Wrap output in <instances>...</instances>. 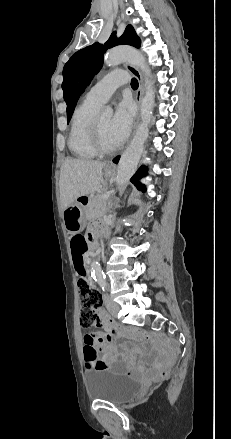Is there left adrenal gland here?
<instances>
[{"instance_id": "a2214340", "label": "left adrenal gland", "mask_w": 231, "mask_h": 439, "mask_svg": "<svg viewBox=\"0 0 231 439\" xmlns=\"http://www.w3.org/2000/svg\"><path fill=\"white\" fill-rule=\"evenodd\" d=\"M112 203L111 202H108V209L110 210V209H112Z\"/></svg>"}]
</instances>
